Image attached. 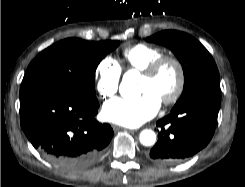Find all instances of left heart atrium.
I'll use <instances>...</instances> for the list:
<instances>
[{
  "instance_id": "obj_1",
  "label": "left heart atrium",
  "mask_w": 245,
  "mask_h": 187,
  "mask_svg": "<svg viewBox=\"0 0 245 187\" xmlns=\"http://www.w3.org/2000/svg\"><path fill=\"white\" fill-rule=\"evenodd\" d=\"M161 106V100L146 91L135 100L117 99L106 103L102 110L106 121L125 127H138L153 118Z\"/></svg>"
}]
</instances>
